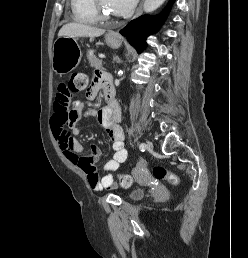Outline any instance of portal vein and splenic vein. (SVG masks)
Returning a JSON list of instances; mask_svg holds the SVG:
<instances>
[{"instance_id":"portal-vein-and-splenic-vein-1","label":"portal vein and splenic vein","mask_w":248,"mask_h":258,"mask_svg":"<svg viewBox=\"0 0 248 258\" xmlns=\"http://www.w3.org/2000/svg\"><path fill=\"white\" fill-rule=\"evenodd\" d=\"M99 58H103V56H102V55H99Z\"/></svg>"}]
</instances>
